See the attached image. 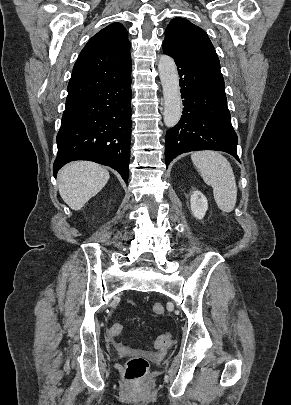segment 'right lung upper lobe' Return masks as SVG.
Instances as JSON below:
<instances>
[{"label":"right lung upper lobe","instance_id":"1","mask_svg":"<svg viewBox=\"0 0 291 405\" xmlns=\"http://www.w3.org/2000/svg\"><path fill=\"white\" fill-rule=\"evenodd\" d=\"M130 42L124 26L112 23L94 35L73 67L66 104L131 74Z\"/></svg>","mask_w":291,"mask_h":405}]
</instances>
